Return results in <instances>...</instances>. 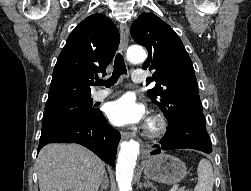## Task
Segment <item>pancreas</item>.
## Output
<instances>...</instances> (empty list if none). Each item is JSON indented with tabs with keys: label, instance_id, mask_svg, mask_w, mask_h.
<instances>
[{
	"label": "pancreas",
	"instance_id": "1",
	"mask_svg": "<svg viewBox=\"0 0 251 191\" xmlns=\"http://www.w3.org/2000/svg\"><path fill=\"white\" fill-rule=\"evenodd\" d=\"M176 191H189V189H184V187H179V189H176Z\"/></svg>",
	"mask_w": 251,
	"mask_h": 191
}]
</instances>
